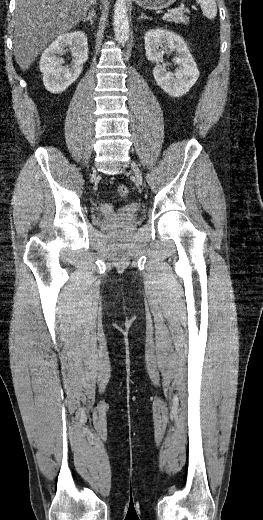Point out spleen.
<instances>
[{"mask_svg": "<svg viewBox=\"0 0 263 520\" xmlns=\"http://www.w3.org/2000/svg\"><path fill=\"white\" fill-rule=\"evenodd\" d=\"M202 9L203 15L208 19H214L217 15V5L215 0H196Z\"/></svg>", "mask_w": 263, "mask_h": 520, "instance_id": "spleen-1", "label": "spleen"}]
</instances>
